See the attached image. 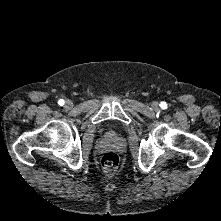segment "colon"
Here are the masks:
<instances>
[{
  "instance_id": "colon-1",
  "label": "colon",
  "mask_w": 221,
  "mask_h": 221,
  "mask_svg": "<svg viewBox=\"0 0 221 221\" xmlns=\"http://www.w3.org/2000/svg\"><path fill=\"white\" fill-rule=\"evenodd\" d=\"M119 167V157L112 152L106 153L101 159V168L103 172L111 176L113 175Z\"/></svg>"
}]
</instances>
